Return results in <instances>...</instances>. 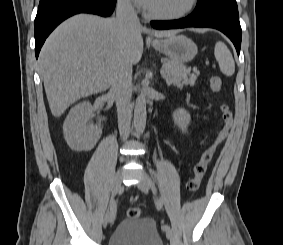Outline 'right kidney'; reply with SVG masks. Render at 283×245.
Masks as SVG:
<instances>
[{"label":"right kidney","instance_id":"1","mask_svg":"<svg viewBox=\"0 0 283 245\" xmlns=\"http://www.w3.org/2000/svg\"><path fill=\"white\" fill-rule=\"evenodd\" d=\"M94 117V107L89 101L75 105L63 124L64 138L70 148L76 151H89L98 142L102 134L100 124H89Z\"/></svg>","mask_w":283,"mask_h":245}]
</instances>
